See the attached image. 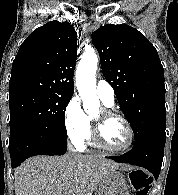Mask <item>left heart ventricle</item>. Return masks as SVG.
Masks as SVG:
<instances>
[{"mask_svg":"<svg viewBox=\"0 0 178 195\" xmlns=\"http://www.w3.org/2000/svg\"><path fill=\"white\" fill-rule=\"evenodd\" d=\"M100 113L96 115V118ZM104 141L111 147L122 148L129 142V133L126 126L117 119L107 120L102 129Z\"/></svg>","mask_w":178,"mask_h":195,"instance_id":"1","label":"left heart ventricle"}]
</instances>
